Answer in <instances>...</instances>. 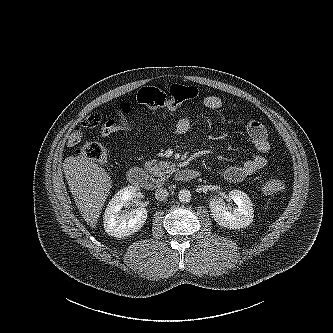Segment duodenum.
Instances as JSON below:
<instances>
[{
    "instance_id": "410a0bca",
    "label": "duodenum",
    "mask_w": 333,
    "mask_h": 333,
    "mask_svg": "<svg viewBox=\"0 0 333 333\" xmlns=\"http://www.w3.org/2000/svg\"><path fill=\"white\" fill-rule=\"evenodd\" d=\"M128 180L135 186L148 189H155L162 185V182L148 174L140 167H132L127 173ZM199 177V172L192 168H184L177 173V179L182 182H189Z\"/></svg>"
}]
</instances>
